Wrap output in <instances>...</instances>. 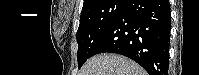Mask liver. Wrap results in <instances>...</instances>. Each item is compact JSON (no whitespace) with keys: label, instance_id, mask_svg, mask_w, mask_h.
Returning a JSON list of instances; mask_svg holds the SVG:
<instances>
[{"label":"liver","instance_id":"6515ba94","mask_svg":"<svg viewBox=\"0 0 199 75\" xmlns=\"http://www.w3.org/2000/svg\"><path fill=\"white\" fill-rule=\"evenodd\" d=\"M79 75H147V73L125 56L105 53L87 60Z\"/></svg>","mask_w":199,"mask_h":75}]
</instances>
